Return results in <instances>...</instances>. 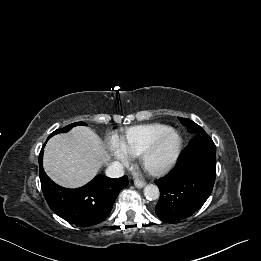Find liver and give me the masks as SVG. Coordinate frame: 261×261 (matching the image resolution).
I'll return each instance as SVG.
<instances>
[{
    "label": "liver",
    "instance_id": "1",
    "mask_svg": "<svg viewBox=\"0 0 261 261\" xmlns=\"http://www.w3.org/2000/svg\"><path fill=\"white\" fill-rule=\"evenodd\" d=\"M107 154L99 136L88 127L53 136L44 149V170L58 185L77 188L95 177Z\"/></svg>",
    "mask_w": 261,
    "mask_h": 261
}]
</instances>
